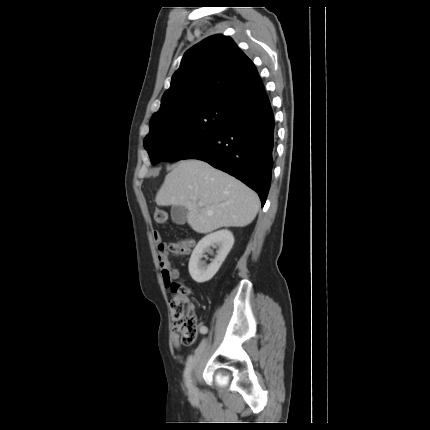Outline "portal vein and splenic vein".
<instances>
[{
  "label": "portal vein and splenic vein",
  "instance_id": "obj_1",
  "mask_svg": "<svg viewBox=\"0 0 430 430\" xmlns=\"http://www.w3.org/2000/svg\"><path fill=\"white\" fill-rule=\"evenodd\" d=\"M198 204H199L200 206L202 205V203H201V202H199Z\"/></svg>",
  "mask_w": 430,
  "mask_h": 430
}]
</instances>
